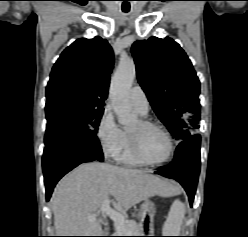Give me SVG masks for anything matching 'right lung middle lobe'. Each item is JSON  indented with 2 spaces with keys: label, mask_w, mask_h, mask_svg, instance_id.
Returning <instances> with one entry per match:
<instances>
[{
  "label": "right lung middle lobe",
  "mask_w": 248,
  "mask_h": 237,
  "mask_svg": "<svg viewBox=\"0 0 248 237\" xmlns=\"http://www.w3.org/2000/svg\"><path fill=\"white\" fill-rule=\"evenodd\" d=\"M104 103L76 98L46 102L47 130H62L95 135L104 111Z\"/></svg>",
  "instance_id": "right-lung-middle-lobe-1"
}]
</instances>
